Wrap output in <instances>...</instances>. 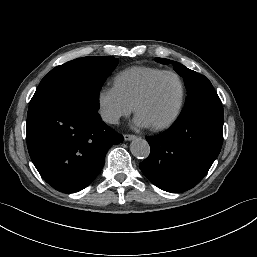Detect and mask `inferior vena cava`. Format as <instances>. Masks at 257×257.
Wrapping results in <instances>:
<instances>
[{"instance_id": "obj_1", "label": "inferior vena cava", "mask_w": 257, "mask_h": 257, "mask_svg": "<svg viewBox=\"0 0 257 257\" xmlns=\"http://www.w3.org/2000/svg\"><path fill=\"white\" fill-rule=\"evenodd\" d=\"M101 116L102 119L107 123L117 124L119 121V115L112 112H102Z\"/></svg>"}]
</instances>
